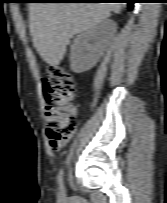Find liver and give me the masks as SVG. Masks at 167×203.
Wrapping results in <instances>:
<instances>
[{
	"mask_svg": "<svg viewBox=\"0 0 167 203\" xmlns=\"http://www.w3.org/2000/svg\"><path fill=\"white\" fill-rule=\"evenodd\" d=\"M121 10V3H30L33 45L47 64L56 66L75 34L107 19L110 12L118 14Z\"/></svg>",
	"mask_w": 167,
	"mask_h": 203,
	"instance_id": "liver-1",
	"label": "liver"
}]
</instances>
